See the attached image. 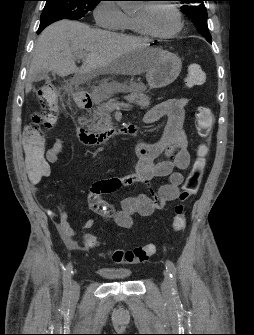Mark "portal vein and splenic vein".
I'll list each match as a JSON object with an SVG mask.
<instances>
[{
    "mask_svg": "<svg viewBox=\"0 0 254 335\" xmlns=\"http://www.w3.org/2000/svg\"><path fill=\"white\" fill-rule=\"evenodd\" d=\"M85 57L84 53H77L75 54V58L76 59H82ZM109 108H116V107H124V108H129L131 107L129 104L126 103H122V102H113V103H109L108 105Z\"/></svg>",
    "mask_w": 254,
    "mask_h": 335,
    "instance_id": "1",
    "label": "portal vein and splenic vein"
}]
</instances>
